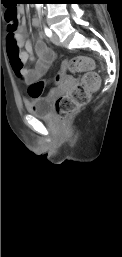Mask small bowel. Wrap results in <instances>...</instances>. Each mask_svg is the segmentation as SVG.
Here are the masks:
<instances>
[{"label": "small bowel", "instance_id": "small-bowel-1", "mask_svg": "<svg viewBox=\"0 0 122 257\" xmlns=\"http://www.w3.org/2000/svg\"><path fill=\"white\" fill-rule=\"evenodd\" d=\"M17 11L22 20L14 31L11 32L8 27L6 39L8 64H12L11 73H17V78H22L27 83L38 82V79H41L48 73L55 59V53L46 45L42 37H39L35 45H33L32 41L27 37L24 8L20 7ZM32 24L38 29L40 27L39 19L34 18ZM33 50H35L38 56V61L35 69H30L25 67V64L28 61L34 60Z\"/></svg>", "mask_w": 122, "mask_h": 257}]
</instances>
